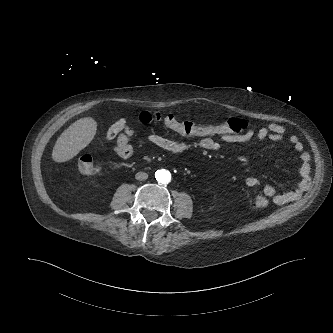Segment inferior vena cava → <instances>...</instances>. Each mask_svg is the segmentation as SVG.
Instances as JSON below:
<instances>
[{"instance_id":"obj_1","label":"inferior vena cava","mask_w":333,"mask_h":333,"mask_svg":"<svg viewBox=\"0 0 333 333\" xmlns=\"http://www.w3.org/2000/svg\"><path fill=\"white\" fill-rule=\"evenodd\" d=\"M135 178L140 181L146 180L148 178V174L145 172H138L136 173Z\"/></svg>"}]
</instances>
